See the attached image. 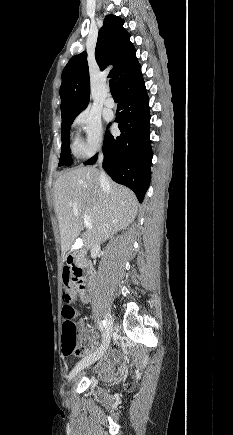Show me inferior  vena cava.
<instances>
[{"label": "inferior vena cava", "mask_w": 233, "mask_h": 435, "mask_svg": "<svg viewBox=\"0 0 233 435\" xmlns=\"http://www.w3.org/2000/svg\"><path fill=\"white\" fill-rule=\"evenodd\" d=\"M102 158H103V155L100 154V155H99V159H98L99 163L102 161ZM106 178H107V177H106L105 172L101 171V173H100V179H101V181L106 180Z\"/></svg>", "instance_id": "602c4592"}]
</instances>
